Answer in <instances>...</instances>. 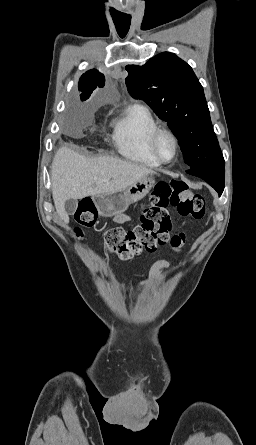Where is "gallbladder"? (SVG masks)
<instances>
[{
	"mask_svg": "<svg viewBox=\"0 0 256 445\" xmlns=\"http://www.w3.org/2000/svg\"><path fill=\"white\" fill-rule=\"evenodd\" d=\"M77 200L76 199H67L65 201V211L68 215H73L77 209Z\"/></svg>",
	"mask_w": 256,
	"mask_h": 445,
	"instance_id": "gallbladder-1",
	"label": "gallbladder"
}]
</instances>
